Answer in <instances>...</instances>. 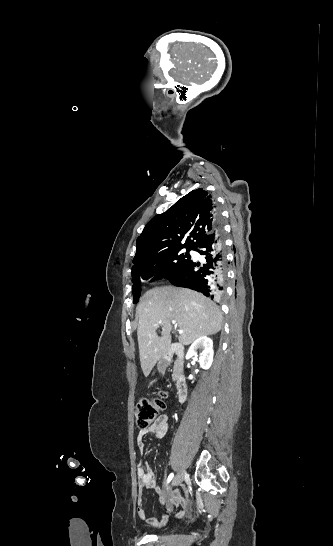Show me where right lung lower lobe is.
I'll list each match as a JSON object with an SVG mask.
<instances>
[{"label":"right lung lower lobe","instance_id":"98d812e1","mask_svg":"<svg viewBox=\"0 0 333 546\" xmlns=\"http://www.w3.org/2000/svg\"><path fill=\"white\" fill-rule=\"evenodd\" d=\"M193 250L203 255L204 261L200 263L189 259L168 280L175 286L196 290L211 299L218 298L225 288L227 264L220 227L216 225L212 232L193 246Z\"/></svg>","mask_w":333,"mask_h":546}]
</instances>
